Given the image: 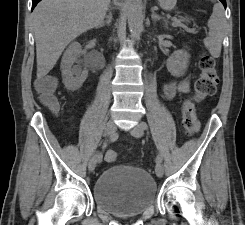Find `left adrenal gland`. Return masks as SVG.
Wrapping results in <instances>:
<instances>
[{
	"instance_id": "obj_1",
	"label": "left adrenal gland",
	"mask_w": 245,
	"mask_h": 225,
	"mask_svg": "<svg viewBox=\"0 0 245 225\" xmlns=\"http://www.w3.org/2000/svg\"><path fill=\"white\" fill-rule=\"evenodd\" d=\"M151 12H152L151 18H152L153 22L162 20L166 26V20L163 17H160L159 15H157L153 8L151 9Z\"/></svg>"
}]
</instances>
